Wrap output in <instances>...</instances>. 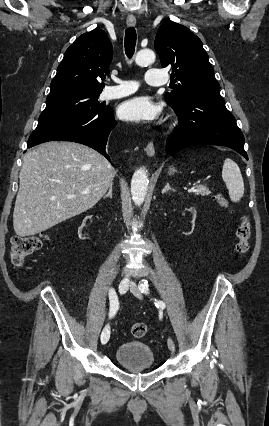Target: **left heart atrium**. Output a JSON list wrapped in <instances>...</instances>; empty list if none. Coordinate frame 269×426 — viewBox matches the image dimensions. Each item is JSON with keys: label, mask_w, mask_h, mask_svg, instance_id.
Returning <instances> with one entry per match:
<instances>
[{"label": "left heart atrium", "mask_w": 269, "mask_h": 426, "mask_svg": "<svg viewBox=\"0 0 269 426\" xmlns=\"http://www.w3.org/2000/svg\"><path fill=\"white\" fill-rule=\"evenodd\" d=\"M119 116L133 122H151L160 113V107L147 97H135L123 102L118 109Z\"/></svg>", "instance_id": "39dd6f15"}]
</instances>
